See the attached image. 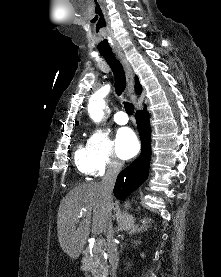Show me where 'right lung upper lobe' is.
I'll use <instances>...</instances> for the list:
<instances>
[{"mask_svg":"<svg viewBox=\"0 0 221 277\" xmlns=\"http://www.w3.org/2000/svg\"><path fill=\"white\" fill-rule=\"evenodd\" d=\"M135 82H136L135 90H136V92H137L138 94H140V93H141V90H142V87H141V85H140V83H139V81H138L137 76L135 77ZM76 125H78V122H76Z\"/></svg>","mask_w":221,"mask_h":277,"instance_id":"right-lung-upper-lobe-1","label":"right lung upper lobe"}]
</instances>
